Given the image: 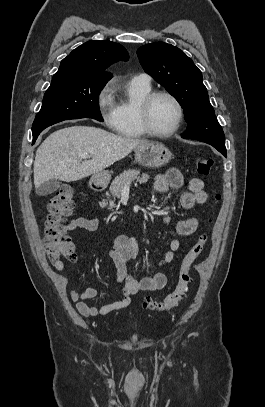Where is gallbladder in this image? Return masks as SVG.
Segmentation results:
<instances>
[{
  "instance_id": "1",
  "label": "gallbladder",
  "mask_w": 265,
  "mask_h": 407,
  "mask_svg": "<svg viewBox=\"0 0 265 407\" xmlns=\"http://www.w3.org/2000/svg\"><path fill=\"white\" fill-rule=\"evenodd\" d=\"M59 187L60 181L58 179H51L36 188V194L39 196H47L55 192Z\"/></svg>"
}]
</instances>
